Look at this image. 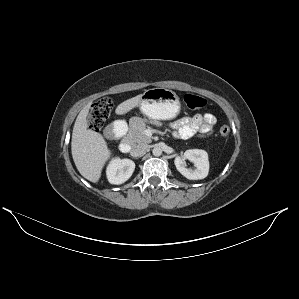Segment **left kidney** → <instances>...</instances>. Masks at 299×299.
Segmentation results:
<instances>
[{
	"label": "left kidney",
	"mask_w": 299,
	"mask_h": 299,
	"mask_svg": "<svg viewBox=\"0 0 299 299\" xmlns=\"http://www.w3.org/2000/svg\"><path fill=\"white\" fill-rule=\"evenodd\" d=\"M188 159L194 163L196 169H188L184 162ZM177 170L189 180H199L207 177L209 172L208 154L204 150L190 149L185 151L183 157L177 156L174 160Z\"/></svg>",
	"instance_id": "1"
}]
</instances>
